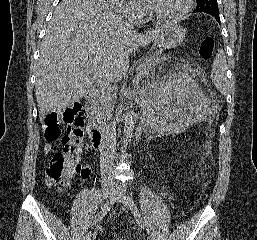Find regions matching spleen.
I'll return each mask as SVG.
<instances>
[{"instance_id": "obj_1", "label": "spleen", "mask_w": 257, "mask_h": 240, "mask_svg": "<svg viewBox=\"0 0 257 240\" xmlns=\"http://www.w3.org/2000/svg\"><path fill=\"white\" fill-rule=\"evenodd\" d=\"M226 70L227 64L224 51L219 50L212 65L211 79L221 93H225L227 90Z\"/></svg>"}]
</instances>
